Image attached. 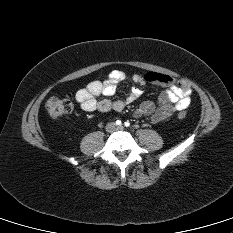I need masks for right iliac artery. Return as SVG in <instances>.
I'll list each match as a JSON object with an SVG mask.
<instances>
[{"mask_svg": "<svg viewBox=\"0 0 233 233\" xmlns=\"http://www.w3.org/2000/svg\"><path fill=\"white\" fill-rule=\"evenodd\" d=\"M121 124H122L121 120L116 121V125H121Z\"/></svg>", "mask_w": 233, "mask_h": 233, "instance_id": "obj_1", "label": "right iliac artery"}]
</instances>
